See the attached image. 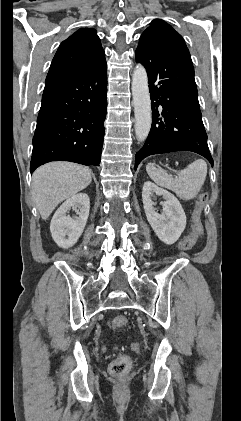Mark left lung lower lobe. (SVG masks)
<instances>
[{"instance_id": "obj_1", "label": "left lung lower lobe", "mask_w": 241, "mask_h": 421, "mask_svg": "<svg viewBox=\"0 0 241 421\" xmlns=\"http://www.w3.org/2000/svg\"><path fill=\"white\" fill-rule=\"evenodd\" d=\"M135 56L146 68L152 107L151 130L135 169L149 155L174 151L198 153L213 165L187 47L141 35Z\"/></svg>"}]
</instances>
